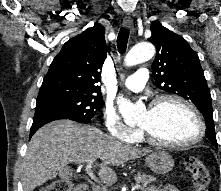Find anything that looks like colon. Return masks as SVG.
I'll use <instances>...</instances> for the list:
<instances>
[{
  "instance_id": "colon-1",
  "label": "colon",
  "mask_w": 221,
  "mask_h": 191,
  "mask_svg": "<svg viewBox=\"0 0 221 191\" xmlns=\"http://www.w3.org/2000/svg\"><path fill=\"white\" fill-rule=\"evenodd\" d=\"M184 165L192 177L193 185L191 191H214L207 188L210 181V172L201 159L187 157L184 160ZM42 191H72V182L68 179H58Z\"/></svg>"
}]
</instances>
